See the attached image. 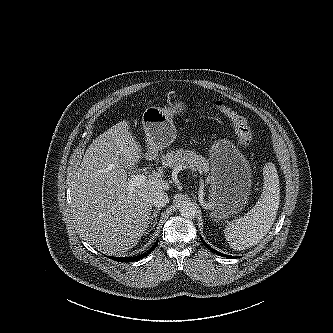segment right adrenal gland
Here are the masks:
<instances>
[{
    "label": "right adrenal gland",
    "mask_w": 333,
    "mask_h": 333,
    "mask_svg": "<svg viewBox=\"0 0 333 333\" xmlns=\"http://www.w3.org/2000/svg\"><path fill=\"white\" fill-rule=\"evenodd\" d=\"M160 210H161L160 208L154 210L153 213L150 214V216L148 217V226L151 225V228L148 230V232H150L155 227L157 215ZM153 219H154V221H153ZM148 232H146V233H148Z\"/></svg>",
    "instance_id": "right-adrenal-gland-1"
}]
</instances>
